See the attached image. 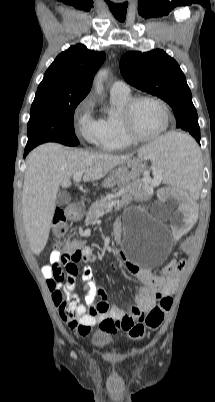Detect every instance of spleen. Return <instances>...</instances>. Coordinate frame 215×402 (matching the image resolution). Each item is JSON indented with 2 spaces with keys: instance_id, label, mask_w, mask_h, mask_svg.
Returning a JSON list of instances; mask_svg holds the SVG:
<instances>
[{
  "instance_id": "spleen-1",
  "label": "spleen",
  "mask_w": 215,
  "mask_h": 402,
  "mask_svg": "<svg viewBox=\"0 0 215 402\" xmlns=\"http://www.w3.org/2000/svg\"><path fill=\"white\" fill-rule=\"evenodd\" d=\"M138 155L150 159L153 170L163 175L165 182L180 185V192L195 193L199 189L201 165L193 133L176 129L143 147Z\"/></svg>"
}]
</instances>
